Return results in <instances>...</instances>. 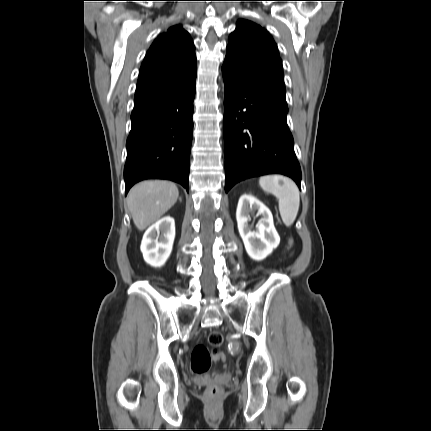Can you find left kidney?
I'll list each match as a JSON object with an SVG mask.
<instances>
[{"instance_id": "5707ae66", "label": "left kidney", "mask_w": 431, "mask_h": 431, "mask_svg": "<svg viewBox=\"0 0 431 431\" xmlns=\"http://www.w3.org/2000/svg\"><path fill=\"white\" fill-rule=\"evenodd\" d=\"M258 211L262 215L256 225V230L249 225V214ZM239 234L243 240L248 255L257 261L265 259L280 243V237L274 227L270 210L258 199L244 194L239 198L236 210Z\"/></svg>"}]
</instances>
